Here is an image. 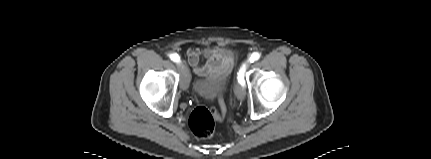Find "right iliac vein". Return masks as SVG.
<instances>
[{"label":"right iliac vein","mask_w":431,"mask_h":159,"mask_svg":"<svg viewBox=\"0 0 431 159\" xmlns=\"http://www.w3.org/2000/svg\"><path fill=\"white\" fill-rule=\"evenodd\" d=\"M178 67L183 70V78L181 80L180 87L183 91H186L189 87L190 75L186 65L183 62L179 63Z\"/></svg>","instance_id":"63e3f726"}]
</instances>
